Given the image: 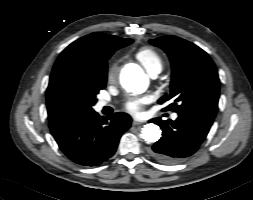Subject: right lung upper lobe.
Returning <instances> with one entry per match:
<instances>
[{
    "instance_id": "right-lung-upper-lobe-1",
    "label": "right lung upper lobe",
    "mask_w": 253,
    "mask_h": 200,
    "mask_svg": "<svg viewBox=\"0 0 253 200\" xmlns=\"http://www.w3.org/2000/svg\"><path fill=\"white\" fill-rule=\"evenodd\" d=\"M130 40L95 32L66 47L55 62L46 91L49 120L71 115L63 108L58 97V80L65 69L77 67L85 70H100L107 65L110 56L122 46L125 47L124 45Z\"/></svg>"
}]
</instances>
